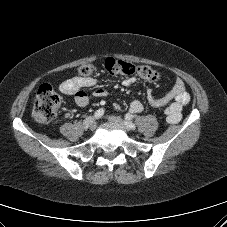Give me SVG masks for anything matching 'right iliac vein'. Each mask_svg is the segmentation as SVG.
I'll return each instance as SVG.
<instances>
[{
	"instance_id": "1",
	"label": "right iliac vein",
	"mask_w": 227,
	"mask_h": 227,
	"mask_svg": "<svg viewBox=\"0 0 227 227\" xmlns=\"http://www.w3.org/2000/svg\"><path fill=\"white\" fill-rule=\"evenodd\" d=\"M95 126H96V122L93 117H88L83 121V128L85 130L94 129Z\"/></svg>"
}]
</instances>
